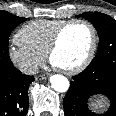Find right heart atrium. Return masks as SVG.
I'll return each instance as SVG.
<instances>
[{"label": "right heart atrium", "instance_id": "1", "mask_svg": "<svg viewBox=\"0 0 116 116\" xmlns=\"http://www.w3.org/2000/svg\"><path fill=\"white\" fill-rule=\"evenodd\" d=\"M10 63L23 74H34L44 60V55L38 54L16 38L7 51Z\"/></svg>", "mask_w": 116, "mask_h": 116}]
</instances>
